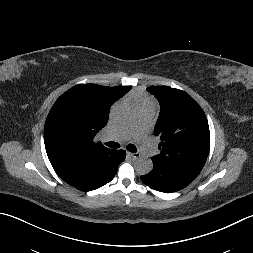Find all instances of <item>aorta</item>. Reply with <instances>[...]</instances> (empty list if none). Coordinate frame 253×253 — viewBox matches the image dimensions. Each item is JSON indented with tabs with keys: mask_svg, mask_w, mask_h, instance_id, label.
Here are the masks:
<instances>
[{
	"mask_svg": "<svg viewBox=\"0 0 253 253\" xmlns=\"http://www.w3.org/2000/svg\"><path fill=\"white\" fill-rule=\"evenodd\" d=\"M133 116V108L128 103H119L112 110V117L117 123H126ZM135 170L140 175L149 174L153 169V162L147 157H140L135 161Z\"/></svg>",
	"mask_w": 253,
	"mask_h": 253,
	"instance_id": "aorta-1",
	"label": "aorta"
}]
</instances>
